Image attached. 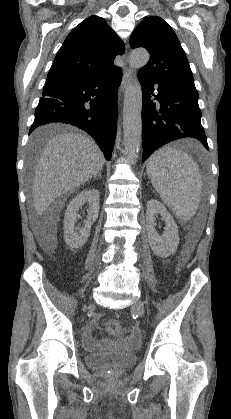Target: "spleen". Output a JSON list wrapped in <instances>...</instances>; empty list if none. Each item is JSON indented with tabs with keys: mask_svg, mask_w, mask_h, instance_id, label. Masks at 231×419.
Instances as JSON below:
<instances>
[{
	"mask_svg": "<svg viewBox=\"0 0 231 419\" xmlns=\"http://www.w3.org/2000/svg\"><path fill=\"white\" fill-rule=\"evenodd\" d=\"M147 174L163 202L178 218L189 220L196 214L202 176L198 165L188 154L176 148L163 147L150 156Z\"/></svg>",
	"mask_w": 231,
	"mask_h": 419,
	"instance_id": "1",
	"label": "spleen"
}]
</instances>
